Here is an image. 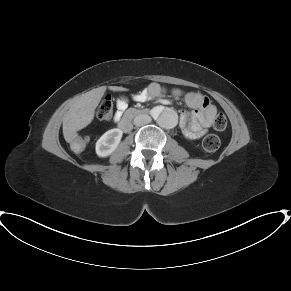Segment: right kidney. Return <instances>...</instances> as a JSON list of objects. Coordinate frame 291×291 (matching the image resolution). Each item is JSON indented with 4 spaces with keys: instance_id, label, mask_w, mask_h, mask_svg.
<instances>
[{
    "instance_id": "obj_1",
    "label": "right kidney",
    "mask_w": 291,
    "mask_h": 291,
    "mask_svg": "<svg viewBox=\"0 0 291 291\" xmlns=\"http://www.w3.org/2000/svg\"><path fill=\"white\" fill-rule=\"evenodd\" d=\"M123 131L119 128L105 132L96 142L95 150L99 157L109 156L119 145Z\"/></svg>"
}]
</instances>
